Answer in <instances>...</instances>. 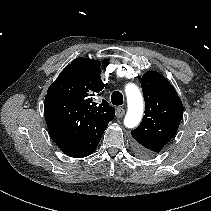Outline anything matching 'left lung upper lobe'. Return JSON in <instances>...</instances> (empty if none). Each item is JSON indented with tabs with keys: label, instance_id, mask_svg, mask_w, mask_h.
<instances>
[{
	"label": "left lung upper lobe",
	"instance_id": "1",
	"mask_svg": "<svg viewBox=\"0 0 211 211\" xmlns=\"http://www.w3.org/2000/svg\"><path fill=\"white\" fill-rule=\"evenodd\" d=\"M145 115L131 135L137 149L158 153L175 136L183 115V104L174 87L160 73L146 72L141 79Z\"/></svg>",
	"mask_w": 211,
	"mask_h": 211
}]
</instances>
